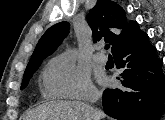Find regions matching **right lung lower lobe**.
<instances>
[{"label": "right lung lower lobe", "instance_id": "right-lung-lower-lobe-1", "mask_svg": "<svg viewBox=\"0 0 165 120\" xmlns=\"http://www.w3.org/2000/svg\"><path fill=\"white\" fill-rule=\"evenodd\" d=\"M113 56L117 68H124L122 86L103 92L105 113L118 120H159L164 111L165 77L163 62L148 35L143 33Z\"/></svg>", "mask_w": 165, "mask_h": 120}]
</instances>
